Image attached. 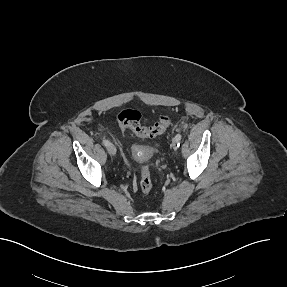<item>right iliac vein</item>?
I'll return each mask as SVG.
<instances>
[{
    "label": "right iliac vein",
    "mask_w": 287,
    "mask_h": 287,
    "mask_svg": "<svg viewBox=\"0 0 287 287\" xmlns=\"http://www.w3.org/2000/svg\"><path fill=\"white\" fill-rule=\"evenodd\" d=\"M107 151L110 155H115L116 154V147L113 144H109L107 146Z\"/></svg>",
    "instance_id": "1"
}]
</instances>
